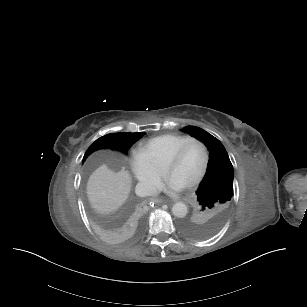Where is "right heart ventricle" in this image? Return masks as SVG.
I'll return each mask as SVG.
<instances>
[{
  "mask_svg": "<svg viewBox=\"0 0 307 307\" xmlns=\"http://www.w3.org/2000/svg\"><path fill=\"white\" fill-rule=\"evenodd\" d=\"M192 138L187 134L168 133L151 139L138 141L133 148L146 153L154 162L163 164L180 145Z\"/></svg>",
  "mask_w": 307,
  "mask_h": 307,
  "instance_id": "e07e8e85",
  "label": "right heart ventricle"
}]
</instances>
